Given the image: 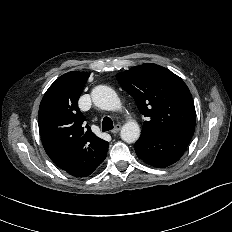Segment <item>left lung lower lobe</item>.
Listing matches in <instances>:
<instances>
[{"label":"left lung lower lobe","mask_w":232,"mask_h":232,"mask_svg":"<svg viewBox=\"0 0 232 232\" xmlns=\"http://www.w3.org/2000/svg\"><path fill=\"white\" fill-rule=\"evenodd\" d=\"M191 138L192 136L185 134L155 135L142 132L135 143V152L145 163L164 168L181 158Z\"/></svg>","instance_id":"left-lung-lower-lobe-1"}]
</instances>
